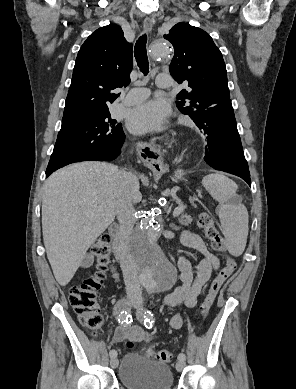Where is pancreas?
<instances>
[{"label": "pancreas", "instance_id": "1", "mask_svg": "<svg viewBox=\"0 0 296 389\" xmlns=\"http://www.w3.org/2000/svg\"><path fill=\"white\" fill-rule=\"evenodd\" d=\"M193 221L192 217L188 214H181L179 217V222L181 225L187 226Z\"/></svg>", "mask_w": 296, "mask_h": 389}]
</instances>
